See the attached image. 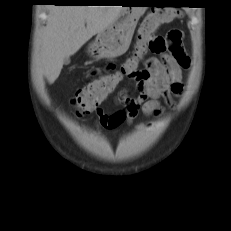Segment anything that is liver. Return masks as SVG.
I'll list each match as a JSON object with an SVG mask.
<instances>
[{
    "instance_id": "liver-1",
    "label": "liver",
    "mask_w": 231,
    "mask_h": 231,
    "mask_svg": "<svg viewBox=\"0 0 231 231\" xmlns=\"http://www.w3.org/2000/svg\"><path fill=\"white\" fill-rule=\"evenodd\" d=\"M122 6H52L42 35L40 61L49 83L59 77L64 59L111 25ZM86 24V26H85Z\"/></svg>"
}]
</instances>
